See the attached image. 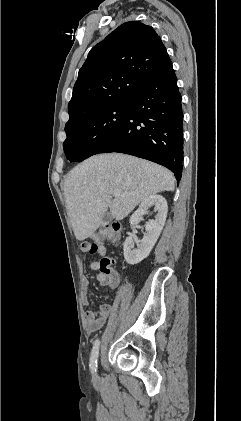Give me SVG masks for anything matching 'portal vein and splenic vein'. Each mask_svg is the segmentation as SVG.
<instances>
[{
  "instance_id": "portal-vein-and-splenic-vein-1",
  "label": "portal vein and splenic vein",
  "mask_w": 241,
  "mask_h": 421,
  "mask_svg": "<svg viewBox=\"0 0 241 421\" xmlns=\"http://www.w3.org/2000/svg\"><path fill=\"white\" fill-rule=\"evenodd\" d=\"M122 194L120 193V192H114L113 193V196L116 198V197H119V196H121Z\"/></svg>"
}]
</instances>
